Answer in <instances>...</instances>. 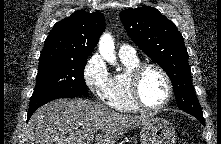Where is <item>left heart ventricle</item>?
I'll use <instances>...</instances> for the list:
<instances>
[{"label": "left heart ventricle", "instance_id": "left-heart-ventricle-1", "mask_svg": "<svg viewBox=\"0 0 221 144\" xmlns=\"http://www.w3.org/2000/svg\"><path fill=\"white\" fill-rule=\"evenodd\" d=\"M140 94L148 106H157L165 100L167 85L157 70L149 69L143 74L140 81Z\"/></svg>", "mask_w": 221, "mask_h": 144}]
</instances>
